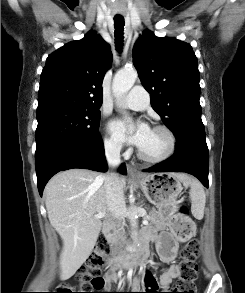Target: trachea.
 <instances>
[{"mask_svg": "<svg viewBox=\"0 0 245 293\" xmlns=\"http://www.w3.org/2000/svg\"><path fill=\"white\" fill-rule=\"evenodd\" d=\"M124 18H114L115 27V44L117 50L120 52L123 45V29H124Z\"/></svg>", "mask_w": 245, "mask_h": 293, "instance_id": "obj_1", "label": "trachea"}]
</instances>
